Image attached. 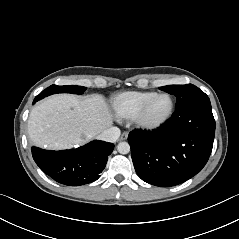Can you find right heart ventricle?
Segmentation results:
<instances>
[{"label":"right heart ventricle","instance_id":"right-heart-ventricle-1","mask_svg":"<svg viewBox=\"0 0 239 239\" xmlns=\"http://www.w3.org/2000/svg\"><path fill=\"white\" fill-rule=\"evenodd\" d=\"M150 91H125L116 94L111 99V107L118 118H133L140 106L151 97Z\"/></svg>","mask_w":239,"mask_h":239}]
</instances>
